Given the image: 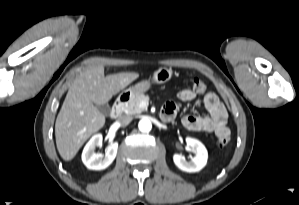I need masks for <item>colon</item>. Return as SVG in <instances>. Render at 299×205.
Returning a JSON list of instances; mask_svg holds the SVG:
<instances>
[{
  "mask_svg": "<svg viewBox=\"0 0 299 205\" xmlns=\"http://www.w3.org/2000/svg\"><path fill=\"white\" fill-rule=\"evenodd\" d=\"M192 90L195 93L203 94L206 92L207 87L206 85L199 79L193 78L192 79ZM230 141V135H222L218 138V144L222 147L226 146Z\"/></svg>",
  "mask_w": 299,
  "mask_h": 205,
  "instance_id": "colon-1",
  "label": "colon"
}]
</instances>
